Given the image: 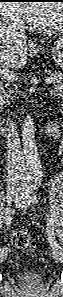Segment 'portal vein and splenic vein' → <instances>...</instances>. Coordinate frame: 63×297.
Segmentation results:
<instances>
[{
    "label": "portal vein and splenic vein",
    "instance_id": "1",
    "mask_svg": "<svg viewBox=\"0 0 63 297\" xmlns=\"http://www.w3.org/2000/svg\"><path fill=\"white\" fill-rule=\"evenodd\" d=\"M4 79H6V80H8V81H12V80H14V76H13L12 74H10V75L5 76ZM53 81H54V79H53L52 77H47V78L45 79V84H46V85H49V84H51Z\"/></svg>",
    "mask_w": 63,
    "mask_h": 297
}]
</instances>
